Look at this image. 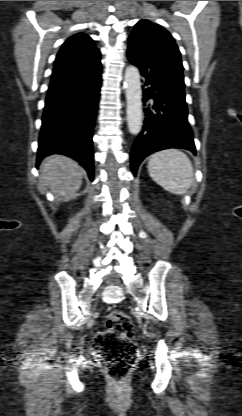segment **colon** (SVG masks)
Listing matches in <instances>:
<instances>
[{
    "label": "colon",
    "mask_w": 242,
    "mask_h": 416,
    "mask_svg": "<svg viewBox=\"0 0 242 416\" xmlns=\"http://www.w3.org/2000/svg\"><path fill=\"white\" fill-rule=\"evenodd\" d=\"M133 330L130 317L123 311L114 310L108 314L106 329L95 337L94 350L115 381L124 380L137 360Z\"/></svg>",
    "instance_id": "obj_1"
}]
</instances>
